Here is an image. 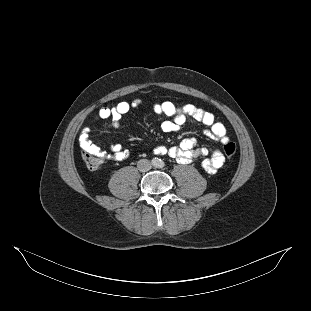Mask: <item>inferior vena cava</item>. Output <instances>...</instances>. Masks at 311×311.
Returning <instances> with one entry per match:
<instances>
[{
	"instance_id": "obj_1",
	"label": "inferior vena cava",
	"mask_w": 311,
	"mask_h": 311,
	"mask_svg": "<svg viewBox=\"0 0 311 311\" xmlns=\"http://www.w3.org/2000/svg\"><path fill=\"white\" fill-rule=\"evenodd\" d=\"M152 167V164L149 160L147 159H141L137 163V168L141 172H146L149 171Z\"/></svg>"
}]
</instances>
